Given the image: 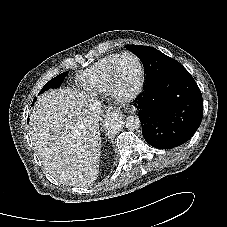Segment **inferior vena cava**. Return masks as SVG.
Wrapping results in <instances>:
<instances>
[{
  "mask_svg": "<svg viewBox=\"0 0 227 227\" xmlns=\"http://www.w3.org/2000/svg\"><path fill=\"white\" fill-rule=\"evenodd\" d=\"M92 107H93V109H94V114H95V116H96V117L99 116V115H100V112H101L100 106H98L97 104H93Z\"/></svg>",
  "mask_w": 227,
  "mask_h": 227,
  "instance_id": "602c4592",
  "label": "inferior vena cava"
}]
</instances>
